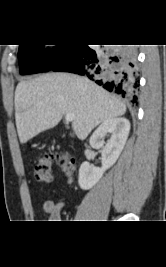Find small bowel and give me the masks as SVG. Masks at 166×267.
<instances>
[{"label":"small bowel","instance_id":"1","mask_svg":"<svg viewBox=\"0 0 166 267\" xmlns=\"http://www.w3.org/2000/svg\"><path fill=\"white\" fill-rule=\"evenodd\" d=\"M64 206L62 201L46 200L42 205V210L51 222H57L61 219Z\"/></svg>","mask_w":166,"mask_h":267}]
</instances>
